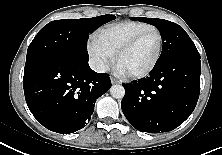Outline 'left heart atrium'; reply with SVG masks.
I'll return each mask as SVG.
<instances>
[{
  "mask_svg": "<svg viewBox=\"0 0 222 155\" xmlns=\"http://www.w3.org/2000/svg\"><path fill=\"white\" fill-rule=\"evenodd\" d=\"M116 70H117V72H118L119 74H121V75H126V74H127V72L125 71V69H124L120 64H117Z\"/></svg>",
  "mask_w": 222,
  "mask_h": 155,
  "instance_id": "1",
  "label": "left heart atrium"
}]
</instances>
